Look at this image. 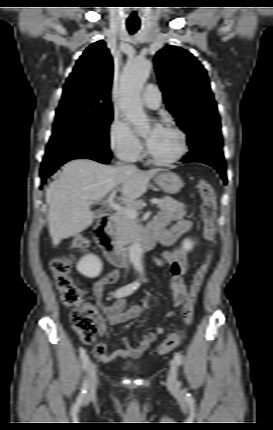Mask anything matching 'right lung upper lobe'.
I'll use <instances>...</instances> for the list:
<instances>
[{
    "instance_id": "obj_1",
    "label": "right lung upper lobe",
    "mask_w": 273,
    "mask_h": 430,
    "mask_svg": "<svg viewBox=\"0 0 273 430\" xmlns=\"http://www.w3.org/2000/svg\"><path fill=\"white\" fill-rule=\"evenodd\" d=\"M113 62L103 40L90 45L68 77L58 109L82 107L112 110Z\"/></svg>"
}]
</instances>
